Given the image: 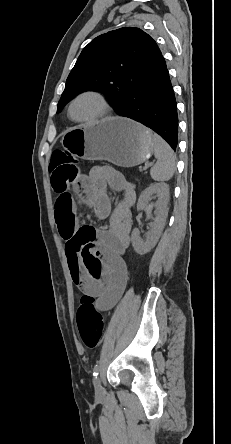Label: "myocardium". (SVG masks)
<instances>
[{
	"instance_id": "myocardium-1",
	"label": "myocardium",
	"mask_w": 231,
	"mask_h": 444,
	"mask_svg": "<svg viewBox=\"0 0 231 444\" xmlns=\"http://www.w3.org/2000/svg\"><path fill=\"white\" fill-rule=\"evenodd\" d=\"M87 95L94 96V97H96L99 100V102L101 103V110H100V112L97 115H95L94 117H91V118H88V119H76V118H74L73 114H72V109H73L74 103L79 98H81L83 96H87ZM110 111H111L110 103H109L108 99L106 98V96L103 93H101L100 91L93 90V89L84 90V91L78 93L71 100V102L69 104V107H68V115H69V117H70V119L72 121H74L76 123H86V124L94 123V122H98V121L103 120L104 118H106L110 114Z\"/></svg>"
}]
</instances>
